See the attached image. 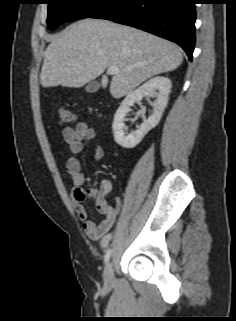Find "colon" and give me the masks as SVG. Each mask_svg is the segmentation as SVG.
<instances>
[{
  "label": "colon",
  "mask_w": 236,
  "mask_h": 321,
  "mask_svg": "<svg viewBox=\"0 0 236 321\" xmlns=\"http://www.w3.org/2000/svg\"><path fill=\"white\" fill-rule=\"evenodd\" d=\"M59 118H60L61 124H70L75 120V116L73 112L65 108H61L59 110ZM90 193H91V189L88 191L81 190L79 196L81 198H85L86 195H90Z\"/></svg>",
  "instance_id": "5ec220e1"
}]
</instances>
